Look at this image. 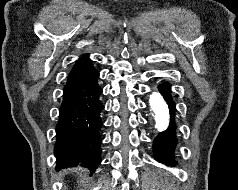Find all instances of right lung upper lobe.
I'll return each instance as SVG.
<instances>
[{
  "mask_svg": "<svg viewBox=\"0 0 238 190\" xmlns=\"http://www.w3.org/2000/svg\"><path fill=\"white\" fill-rule=\"evenodd\" d=\"M89 60L88 55H82V57L80 59H78L75 63V65L73 66L72 70H75L76 68H78L83 62Z\"/></svg>",
  "mask_w": 238,
  "mask_h": 190,
  "instance_id": "right-lung-upper-lobe-1",
  "label": "right lung upper lobe"
}]
</instances>
